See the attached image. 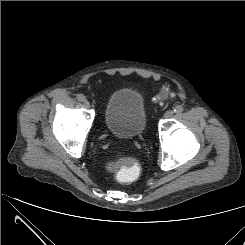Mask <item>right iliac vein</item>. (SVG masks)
I'll list each match as a JSON object with an SVG mask.
<instances>
[{
  "mask_svg": "<svg viewBox=\"0 0 245 245\" xmlns=\"http://www.w3.org/2000/svg\"><path fill=\"white\" fill-rule=\"evenodd\" d=\"M84 105H85V107H87V108L90 107V103H89L87 100L84 101Z\"/></svg>",
  "mask_w": 245,
  "mask_h": 245,
  "instance_id": "obj_1",
  "label": "right iliac vein"
}]
</instances>
